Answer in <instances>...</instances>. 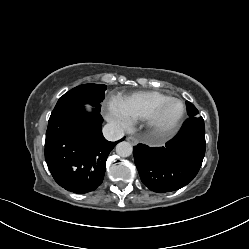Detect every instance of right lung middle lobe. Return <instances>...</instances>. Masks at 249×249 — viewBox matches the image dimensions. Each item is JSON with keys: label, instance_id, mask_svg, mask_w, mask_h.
Here are the masks:
<instances>
[{"label": "right lung middle lobe", "instance_id": "1", "mask_svg": "<svg viewBox=\"0 0 249 249\" xmlns=\"http://www.w3.org/2000/svg\"><path fill=\"white\" fill-rule=\"evenodd\" d=\"M105 90L106 85L102 84H83L71 89L60 97L49 120L60 116L67 110L83 107L87 103L100 109Z\"/></svg>", "mask_w": 249, "mask_h": 249}]
</instances>
